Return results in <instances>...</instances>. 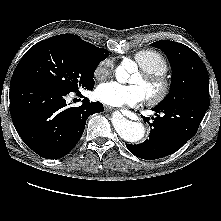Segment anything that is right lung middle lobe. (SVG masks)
<instances>
[{
    "mask_svg": "<svg viewBox=\"0 0 221 221\" xmlns=\"http://www.w3.org/2000/svg\"><path fill=\"white\" fill-rule=\"evenodd\" d=\"M102 60L78 42L57 35L32 46L12 77L28 78L67 94L80 86L91 90L95 69Z\"/></svg>",
    "mask_w": 221,
    "mask_h": 221,
    "instance_id": "obj_1",
    "label": "right lung middle lobe"
}]
</instances>
